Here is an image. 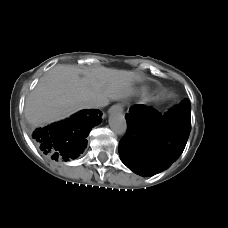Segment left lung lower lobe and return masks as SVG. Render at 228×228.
Masks as SVG:
<instances>
[{
    "instance_id": "1",
    "label": "left lung lower lobe",
    "mask_w": 228,
    "mask_h": 228,
    "mask_svg": "<svg viewBox=\"0 0 228 228\" xmlns=\"http://www.w3.org/2000/svg\"><path fill=\"white\" fill-rule=\"evenodd\" d=\"M127 134L119 143L122 162L142 176L168 168L183 152L191 130L188 99L161 115L145 105H135L126 115Z\"/></svg>"
}]
</instances>
